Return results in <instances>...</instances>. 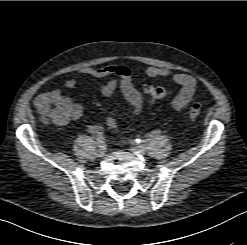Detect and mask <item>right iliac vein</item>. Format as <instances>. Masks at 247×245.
<instances>
[{
	"mask_svg": "<svg viewBox=\"0 0 247 245\" xmlns=\"http://www.w3.org/2000/svg\"><path fill=\"white\" fill-rule=\"evenodd\" d=\"M105 155V150L104 149H98L97 151H96V156L97 157H103Z\"/></svg>",
	"mask_w": 247,
	"mask_h": 245,
	"instance_id": "obj_1",
	"label": "right iliac vein"
}]
</instances>
